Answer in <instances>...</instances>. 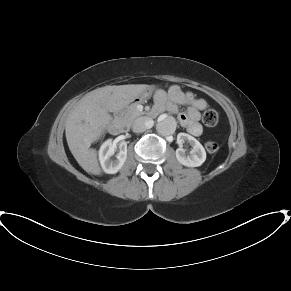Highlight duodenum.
Masks as SVG:
<instances>
[{
  "instance_id": "duodenum-1",
  "label": "duodenum",
  "mask_w": 291,
  "mask_h": 291,
  "mask_svg": "<svg viewBox=\"0 0 291 291\" xmlns=\"http://www.w3.org/2000/svg\"><path fill=\"white\" fill-rule=\"evenodd\" d=\"M112 117H113V120L108 126L111 134L120 135L126 132V127L124 126L122 121L119 119V111H115Z\"/></svg>"
}]
</instances>
